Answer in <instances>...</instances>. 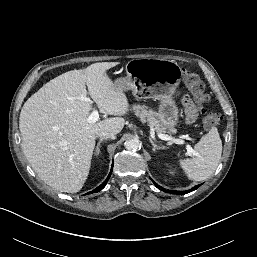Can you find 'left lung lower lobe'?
<instances>
[{
  "mask_svg": "<svg viewBox=\"0 0 257 257\" xmlns=\"http://www.w3.org/2000/svg\"><path fill=\"white\" fill-rule=\"evenodd\" d=\"M151 180H152V179H151ZM152 182L154 183V185H155L156 187L159 188L158 184H156L153 180H152ZM199 186H200V185H197V186L193 187L192 189L188 190V191L185 192V193L194 191V190H196ZM163 191H165V190H163ZM168 192H169V193H172V194H183L182 192H179V191H169V190H168Z\"/></svg>",
  "mask_w": 257,
  "mask_h": 257,
  "instance_id": "left-lung-lower-lobe-1",
  "label": "left lung lower lobe"
}]
</instances>
